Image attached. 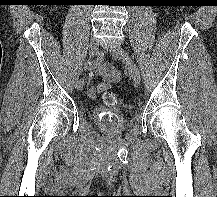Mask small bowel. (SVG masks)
Listing matches in <instances>:
<instances>
[{
	"instance_id": "obj_1",
	"label": "small bowel",
	"mask_w": 217,
	"mask_h": 197,
	"mask_svg": "<svg viewBox=\"0 0 217 197\" xmlns=\"http://www.w3.org/2000/svg\"><path fill=\"white\" fill-rule=\"evenodd\" d=\"M98 74L102 81L88 89L87 94L90 98H95L99 93L108 90L121 78L119 71L111 63L100 60L98 61Z\"/></svg>"
}]
</instances>
